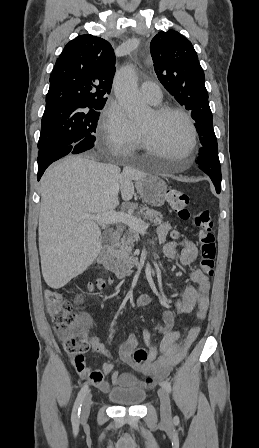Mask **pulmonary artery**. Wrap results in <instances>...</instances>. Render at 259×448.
Listing matches in <instances>:
<instances>
[{
    "instance_id": "1",
    "label": "pulmonary artery",
    "mask_w": 259,
    "mask_h": 448,
    "mask_svg": "<svg viewBox=\"0 0 259 448\" xmlns=\"http://www.w3.org/2000/svg\"><path fill=\"white\" fill-rule=\"evenodd\" d=\"M139 90L142 97L150 104H157L162 100L163 92L157 83L144 82Z\"/></svg>"
}]
</instances>
